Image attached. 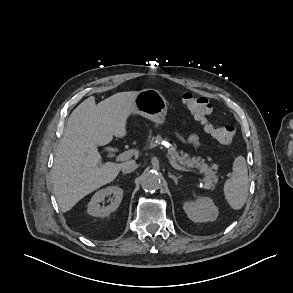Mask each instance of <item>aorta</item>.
Listing matches in <instances>:
<instances>
[{"instance_id": "obj_1", "label": "aorta", "mask_w": 293, "mask_h": 293, "mask_svg": "<svg viewBox=\"0 0 293 293\" xmlns=\"http://www.w3.org/2000/svg\"><path fill=\"white\" fill-rule=\"evenodd\" d=\"M141 186L146 192H154L161 187L160 176L156 172H147L142 176Z\"/></svg>"}]
</instances>
